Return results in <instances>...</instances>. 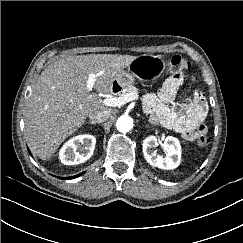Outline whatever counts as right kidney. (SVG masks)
I'll use <instances>...</instances> for the list:
<instances>
[{
    "label": "right kidney",
    "mask_w": 243,
    "mask_h": 243,
    "mask_svg": "<svg viewBox=\"0 0 243 243\" xmlns=\"http://www.w3.org/2000/svg\"><path fill=\"white\" fill-rule=\"evenodd\" d=\"M96 139L93 135L75 136L67 141L59 152V158L65 165H77L87 161L94 152Z\"/></svg>",
    "instance_id": "1"
}]
</instances>
